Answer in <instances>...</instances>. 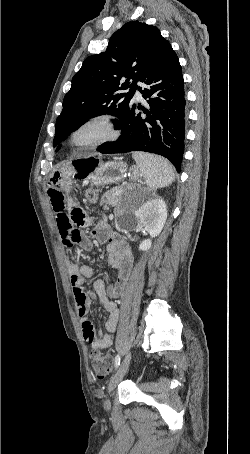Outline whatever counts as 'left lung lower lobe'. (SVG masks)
<instances>
[{
    "label": "left lung lower lobe",
    "instance_id": "0a47b994",
    "mask_svg": "<svg viewBox=\"0 0 250 454\" xmlns=\"http://www.w3.org/2000/svg\"><path fill=\"white\" fill-rule=\"evenodd\" d=\"M142 90L150 111L138 105L145 115L136 114L130 105L117 129L122 135L114 142L100 145L103 154L145 151L169 159L180 172L184 153L185 97L184 81L178 57L173 50L167 59L142 81Z\"/></svg>",
    "mask_w": 250,
    "mask_h": 454
}]
</instances>
